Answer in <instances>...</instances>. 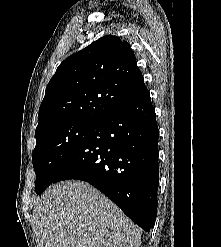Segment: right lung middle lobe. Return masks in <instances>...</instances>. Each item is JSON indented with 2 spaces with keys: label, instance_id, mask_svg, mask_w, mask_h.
<instances>
[{
  "label": "right lung middle lobe",
  "instance_id": "dd1d6c3e",
  "mask_svg": "<svg viewBox=\"0 0 221 247\" xmlns=\"http://www.w3.org/2000/svg\"><path fill=\"white\" fill-rule=\"evenodd\" d=\"M96 126V123L71 122L35 134L36 147L32 161L37 194H41L52 184L64 164L93 133Z\"/></svg>",
  "mask_w": 221,
  "mask_h": 247
}]
</instances>
